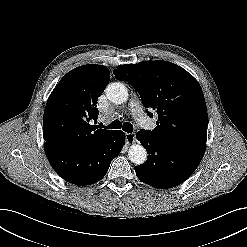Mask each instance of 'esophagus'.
<instances>
[{
  "instance_id": "esophagus-1",
  "label": "esophagus",
  "mask_w": 247,
  "mask_h": 247,
  "mask_svg": "<svg viewBox=\"0 0 247 247\" xmlns=\"http://www.w3.org/2000/svg\"><path fill=\"white\" fill-rule=\"evenodd\" d=\"M125 140L128 145L135 143L136 137L134 133H125Z\"/></svg>"
}]
</instances>
